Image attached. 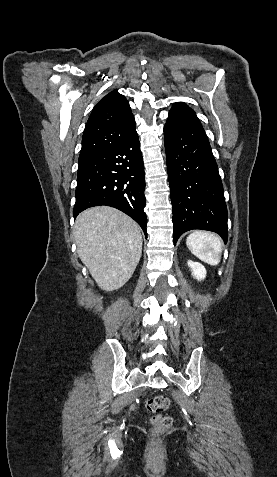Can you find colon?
<instances>
[{
  "label": "colon",
  "instance_id": "obj_1",
  "mask_svg": "<svg viewBox=\"0 0 277 477\" xmlns=\"http://www.w3.org/2000/svg\"><path fill=\"white\" fill-rule=\"evenodd\" d=\"M169 404V399L164 395L151 397L146 402V409L152 414L150 424L156 434L166 432L172 425V419L162 414L169 407Z\"/></svg>",
  "mask_w": 277,
  "mask_h": 477
}]
</instances>
